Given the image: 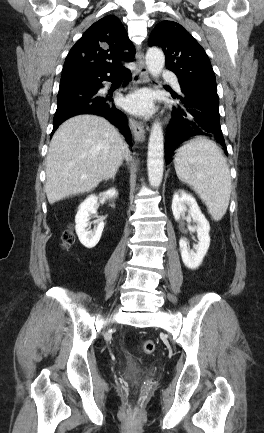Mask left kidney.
Segmentation results:
<instances>
[{
    "mask_svg": "<svg viewBox=\"0 0 264 433\" xmlns=\"http://www.w3.org/2000/svg\"><path fill=\"white\" fill-rule=\"evenodd\" d=\"M172 212L176 221H179L181 216L188 212L193 222L196 223L195 230L199 242L194 247L195 251L190 250L185 238H181L179 241L183 263L187 268L195 270L201 265L210 245L209 222L202 214L195 198L184 190L175 192L172 200Z\"/></svg>",
    "mask_w": 264,
    "mask_h": 433,
    "instance_id": "obj_1",
    "label": "left kidney"
}]
</instances>
